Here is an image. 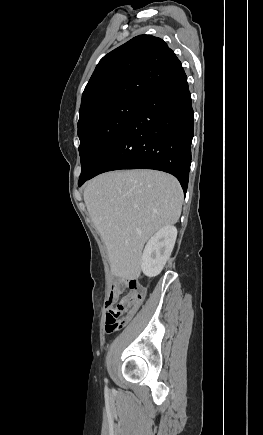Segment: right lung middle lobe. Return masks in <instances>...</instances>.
<instances>
[{
  "label": "right lung middle lobe",
  "instance_id": "dd1d6c3e",
  "mask_svg": "<svg viewBox=\"0 0 263 435\" xmlns=\"http://www.w3.org/2000/svg\"><path fill=\"white\" fill-rule=\"evenodd\" d=\"M143 103L124 99L101 105L78 125L82 166L79 182L96 171Z\"/></svg>",
  "mask_w": 263,
  "mask_h": 435
}]
</instances>
